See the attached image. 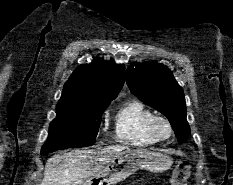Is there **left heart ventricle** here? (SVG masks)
Returning <instances> with one entry per match:
<instances>
[{
	"label": "left heart ventricle",
	"mask_w": 233,
	"mask_h": 185,
	"mask_svg": "<svg viewBox=\"0 0 233 185\" xmlns=\"http://www.w3.org/2000/svg\"><path fill=\"white\" fill-rule=\"evenodd\" d=\"M160 131H161V133L164 134V135H166L167 132H168V131H167V128H166L164 125H161V126H160Z\"/></svg>",
	"instance_id": "1"
}]
</instances>
